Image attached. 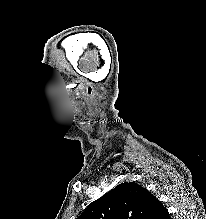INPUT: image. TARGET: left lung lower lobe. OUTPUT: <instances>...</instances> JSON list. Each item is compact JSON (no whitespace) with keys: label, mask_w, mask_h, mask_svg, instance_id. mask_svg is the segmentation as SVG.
<instances>
[{"label":"left lung lower lobe","mask_w":206,"mask_h":219,"mask_svg":"<svg viewBox=\"0 0 206 219\" xmlns=\"http://www.w3.org/2000/svg\"><path fill=\"white\" fill-rule=\"evenodd\" d=\"M148 219H171L168 210L154 197L152 211Z\"/></svg>","instance_id":"1"}]
</instances>
